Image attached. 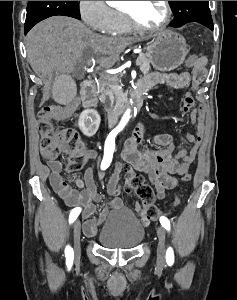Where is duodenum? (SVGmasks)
<instances>
[{"label":"duodenum","instance_id":"1","mask_svg":"<svg viewBox=\"0 0 237 300\" xmlns=\"http://www.w3.org/2000/svg\"><path fill=\"white\" fill-rule=\"evenodd\" d=\"M81 99L83 105L89 110H97L98 107V99L96 96V90L94 82L90 79L84 80L81 85ZM144 94L142 90L136 89L133 95L132 100V108L137 110L143 105ZM114 124L113 121L110 122L112 126Z\"/></svg>","mask_w":237,"mask_h":300}]
</instances>
